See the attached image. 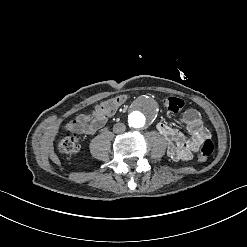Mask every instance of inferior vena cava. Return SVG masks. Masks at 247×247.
<instances>
[{
  "instance_id": "1",
  "label": "inferior vena cava",
  "mask_w": 247,
  "mask_h": 247,
  "mask_svg": "<svg viewBox=\"0 0 247 247\" xmlns=\"http://www.w3.org/2000/svg\"><path fill=\"white\" fill-rule=\"evenodd\" d=\"M125 129H126L125 124H124V123H121V122L116 123V124L114 125V127H113V131H114L115 133H122V132L125 131Z\"/></svg>"
}]
</instances>
